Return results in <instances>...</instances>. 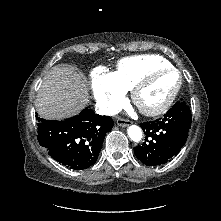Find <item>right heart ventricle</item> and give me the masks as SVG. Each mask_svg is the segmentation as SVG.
Returning a JSON list of instances; mask_svg holds the SVG:
<instances>
[{
    "instance_id": "1",
    "label": "right heart ventricle",
    "mask_w": 221,
    "mask_h": 221,
    "mask_svg": "<svg viewBox=\"0 0 221 221\" xmlns=\"http://www.w3.org/2000/svg\"><path fill=\"white\" fill-rule=\"evenodd\" d=\"M166 66H171L170 62L158 55L132 56L121 59L113 74L118 83L129 91L148 72Z\"/></svg>"
}]
</instances>
